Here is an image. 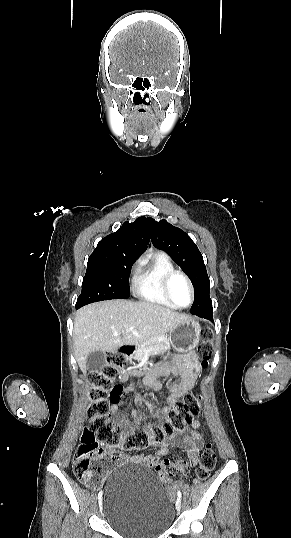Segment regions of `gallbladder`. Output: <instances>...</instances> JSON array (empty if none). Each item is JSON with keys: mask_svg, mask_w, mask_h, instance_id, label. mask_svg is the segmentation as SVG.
Segmentation results:
<instances>
[{"mask_svg": "<svg viewBox=\"0 0 291 538\" xmlns=\"http://www.w3.org/2000/svg\"><path fill=\"white\" fill-rule=\"evenodd\" d=\"M106 354L101 351H94L86 358V370L94 373L98 372L105 365Z\"/></svg>", "mask_w": 291, "mask_h": 538, "instance_id": "1", "label": "gallbladder"}]
</instances>
